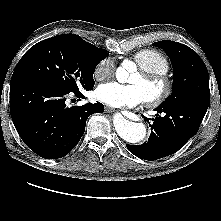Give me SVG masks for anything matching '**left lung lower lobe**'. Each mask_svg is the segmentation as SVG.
<instances>
[{
	"label": "left lung lower lobe",
	"mask_w": 221,
	"mask_h": 221,
	"mask_svg": "<svg viewBox=\"0 0 221 221\" xmlns=\"http://www.w3.org/2000/svg\"><path fill=\"white\" fill-rule=\"evenodd\" d=\"M210 104V97L190 102L160 105L155 111L151 135L142 145H127L128 150L144 160H156L177 152L193 137ZM149 122V118L144 117Z\"/></svg>",
	"instance_id": "0a47b994"
}]
</instances>
